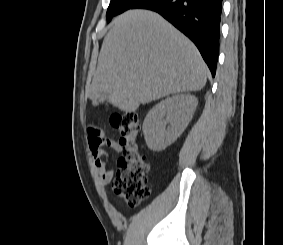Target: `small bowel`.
Wrapping results in <instances>:
<instances>
[{
	"instance_id": "small-bowel-1",
	"label": "small bowel",
	"mask_w": 283,
	"mask_h": 245,
	"mask_svg": "<svg viewBox=\"0 0 283 245\" xmlns=\"http://www.w3.org/2000/svg\"><path fill=\"white\" fill-rule=\"evenodd\" d=\"M88 145L102 183H110L113 178V172L107 169L106 166V149L109 148L115 152H120L122 150L121 144L107 137L102 129L93 127L89 132Z\"/></svg>"
}]
</instances>
